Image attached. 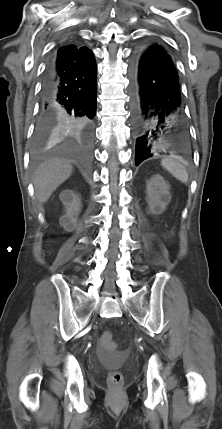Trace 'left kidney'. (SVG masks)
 Masks as SVG:
<instances>
[{
  "instance_id": "obj_1",
  "label": "left kidney",
  "mask_w": 222,
  "mask_h": 429,
  "mask_svg": "<svg viewBox=\"0 0 222 429\" xmlns=\"http://www.w3.org/2000/svg\"><path fill=\"white\" fill-rule=\"evenodd\" d=\"M146 190L149 213L162 214L171 201L170 186L162 176L156 174L147 182Z\"/></svg>"
}]
</instances>
